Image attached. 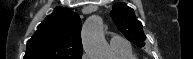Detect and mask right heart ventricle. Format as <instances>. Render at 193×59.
<instances>
[{
  "label": "right heart ventricle",
  "mask_w": 193,
  "mask_h": 59,
  "mask_svg": "<svg viewBox=\"0 0 193 59\" xmlns=\"http://www.w3.org/2000/svg\"><path fill=\"white\" fill-rule=\"evenodd\" d=\"M117 59H136L132 49L115 51Z\"/></svg>",
  "instance_id": "right-heart-ventricle-1"
}]
</instances>
